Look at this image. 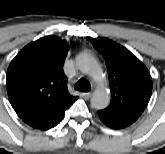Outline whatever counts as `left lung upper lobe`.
<instances>
[{
    "label": "left lung upper lobe",
    "instance_id": "5c2ea615",
    "mask_svg": "<svg viewBox=\"0 0 165 154\" xmlns=\"http://www.w3.org/2000/svg\"><path fill=\"white\" fill-rule=\"evenodd\" d=\"M87 39L105 58L111 88L110 105L100 112L119 120L135 122L152 93V78L145 65L125 47L107 39Z\"/></svg>",
    "mask_w": 165,
    "mask_h": 154
}]
</instances>
